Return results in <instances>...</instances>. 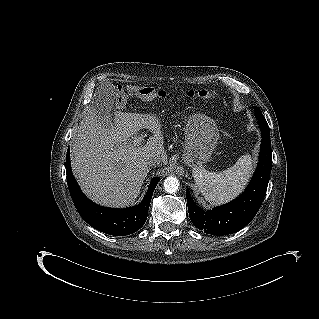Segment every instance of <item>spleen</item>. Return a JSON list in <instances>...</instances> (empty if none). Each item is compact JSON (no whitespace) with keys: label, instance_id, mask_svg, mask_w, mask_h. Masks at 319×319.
<instances>
[{"label":"spleen","instance_id":"spleen-1","mask_svg":"<svg viewBox=\"0 0 319 319\" xmlns=\"http://www.w3.org/2000/svg\"><path fill=\"white\" fill-rule=\"evenodd\" d=\"M250 155H242L230 168L222 172H210L202 167L193 170V178L205 200L214 205L223 204L237 197L252 172Z\"/></svg>","mask_w":319,"mask_h":319}]
</instances>
